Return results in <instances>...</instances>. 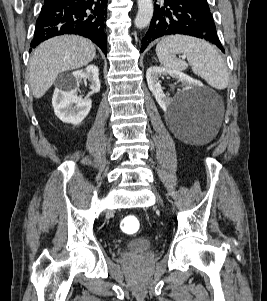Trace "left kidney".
I'll use <instances>...</instances> for the list:
<instances>
[{"label":"left kidney","mask_w":267,"mask_h":301,"mask_svg":"<svg viewBox=\"0 0 267 301\" xmlns=\"http://www.w3.org/2000/svg\"><path fill=\"white\" fill-rule=\"evenodd\" d=\"M161 75L171 76L181 81L182 84H184L185 86L183 91H191L192 89H194V87L198 86L199 84L197 80L189 77L188 75L180 71L171 70L163 67H156V66H152L148 68L146 72L148 87L152 92V94L154 95L157 103L164 111H166L172 106L174 99L166 96L163 93L159 81V77Z\"/></svg>","instance_id":"5707ae66"}]
</instances>
